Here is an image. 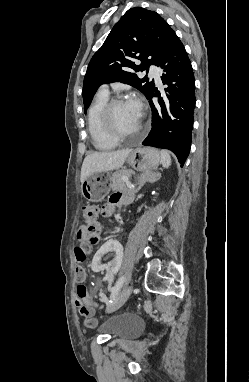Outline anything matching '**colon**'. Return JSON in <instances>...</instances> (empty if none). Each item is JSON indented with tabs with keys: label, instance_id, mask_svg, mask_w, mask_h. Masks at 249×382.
Wrapping results in <instances>:
<instances>
[{
	"label": "colon",
	"instance_id": "obj_1",
	"mask_svg": "<svg viewBox=\"0 0 249 382\" xmlns=\"http://www.w3.org/2000/svg\"><path fill=\"white\" fill-rule=\"evenodd\" d=\"M83 219L87 226L93 225L92 223L96 219L98 215V208L94 205H84L81 209ZM89 248H77L75 247L74 253L77 264L74 265V270L76 271L75 277L79 282L77 286V298L84 299L87 296V288L83 284V281L86 280L84 275V270L81 265L86 261L88 256ZM89 308L87 311H82L83 314H87L89 312Z\"/></svg>",
	"mask_w": 249,
	"mask_h": 382
}]
</instances>
